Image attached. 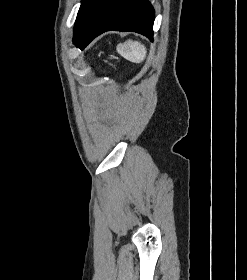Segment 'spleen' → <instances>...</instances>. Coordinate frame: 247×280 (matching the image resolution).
I'll list each match as a JSON object with an SVG mask.
<instances>
[{"mask_svg":"<svg viewBox=\"0 0 247 280\" xmlns=\"http://www.w3.org/2000/svg\"><path fill=\"white\" fill-rule=\"evenodd\" d=\"M117 52L125 59L134 63H142L147 55V50L144 44L131 40L119 44L117 46Z\"/></svg>","mask_w":247,"mask_h":280,"instance_id":"spleen-1","label":"spleen"}]
</instances>
